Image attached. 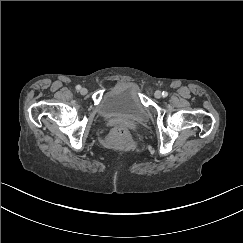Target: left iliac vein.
Returning <instances> with one entry per match:
<instances>
[{
	"mask_svg": "<svg viewBox=\"0 0 243 243\" xmlns=\"http://www.w3.org/2000/svg\"><path fill=\"white\" fill-rule=\"evenodd\" d=\"M154 95H155V97L158 98V99L162 97V93H161V91H159V90L156 91Z\"/></svg>",
	"mask_w": 243,
	"mask_h": 243,
	"instance_id": "4c4485c4",
	"label": "left iliac vein"
}]
</instances>
